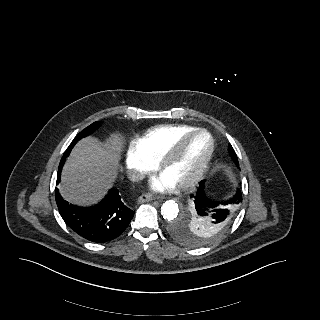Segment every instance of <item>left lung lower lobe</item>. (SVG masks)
I'll use <instances>...</instances> for the list:
<instances>
[{
  "label": "left lung lower lobe",
  "instance_id": "obj_1",
  "mask_svg": "<svg viewBox=\"0 0 320 320\" xmlns=\"http://www.w3.org/2000/svg\"><path fill=\"white\" fill-rule=\"evenodd\" d=\"M204 189V181H201L196 195L191 197L194 199L197 214L210 221L208 233L213 234L225 228L230 222V211L228 209H220V207L227 206L234 209L242 202V192L238 188L234 197L225 201H216L208 198Z\"/></svg>",
  "mask_w": 320,
  "mask_h": 320
}]
</instances>
